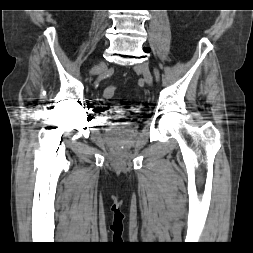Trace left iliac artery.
I'll list each match as a JSON object with an SVG mask.
<instances>
[{"label": "left iliac artery", "mask_w": 253, "mask_h": 253, "mask_svg": "<svg viewBox=\"0 0 253 253\" xmlns=\"http://www.w3.org/2000/svg\"><path fill=\"white\" fill-rule=\"evenodd\" d=\"M154 74H155V77H156V80L159 81V71L157 69H154Z\"/></svg>", "instance_id": "obj_1"}]
</instances>
